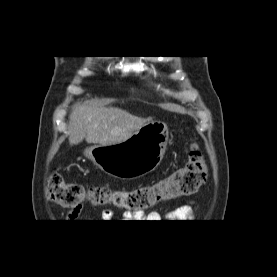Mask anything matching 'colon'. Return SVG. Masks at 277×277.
<instances>
[{
    "instance_id": "1",
    "label": "colon",
    "mask_w": 277,
    "mask_h": 277,
    "mask_svg": "<svg viewBox=\"0 0 277 277\" xmlns=\"http://www.w3.org/2000/svg\"><path fill=\"white\" fill-rule=\"evenodd\" d=\"M207 167L198 144L190 148L189 160L159 182L130 190H113L108 187L86 188L66 182L57 172L48 178L46 194L51 201L68 208L89 202L93 205L113 204L118 208L144 211L159 202L194 194L205 182Z\"/></svg>"
}]
</instances>
